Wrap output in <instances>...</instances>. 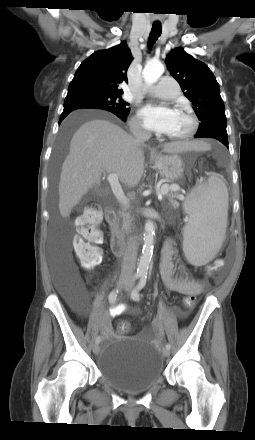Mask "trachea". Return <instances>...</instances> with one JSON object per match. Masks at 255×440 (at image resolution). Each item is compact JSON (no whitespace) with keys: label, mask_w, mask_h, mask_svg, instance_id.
Here are the masks:
<instances>
[{"label":"trachea","mask_w":255,"mask_h":440,"mask_svg":"<svg viewBox=\"0 0 255 440\" xmlns=\"http://www.w3.org/2000/svg\"><path fill=\"white\" fill-rule=\"evenodd\" d=\"M161 24L160 23H154L151 29V33L149 36V45L151 46L161 35Z\"/></svg>","instance_id":"trachea-1"}]
</instances>
